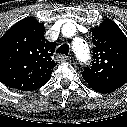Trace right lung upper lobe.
<instances>
[{"label": "right lung upper lobe", "mask_w": 127, "mask_h": 127, "mask_svg": "<svg viewBox=\"0 0 127 127\" xmlns=\"http://www.w3.org/2000/svg\"><path fill=\"white\" fill-rule=\"evenodd\" d=\"M44 30L43 23L24 18L0 38V81L6 86L32 91L48 82L56 43L45 39Z\"/></svg>", "instance_id": "cb5924a9"}]
</instances>
